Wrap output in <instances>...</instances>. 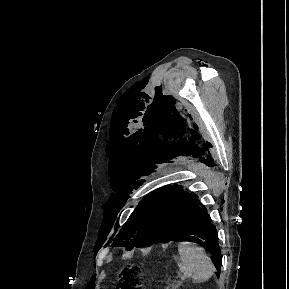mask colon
<instances>
[{"label":"colon","mask_w":289,"mask_h":289,"mask_svg":"<svg viewBox=\"0 0 289 289\" xmlns=\"http://www.w3.org/2000/svg\"><path fill=\"white\" fill-rule=\"evenodd\" d=\"M133 287H141L140 275L136 271H131L129 274L122 277L116 285V289H131Z\"/></svg>","instance_id":"1"}]
</instances>
